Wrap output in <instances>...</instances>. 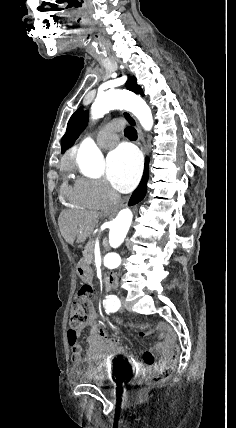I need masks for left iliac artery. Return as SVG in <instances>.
I'll list each match as a JSON object with an SVG mask.
<instances>
[{
    "instance_id": "44dca946",
    "label": "left iliac artery",
    "mask_w": 236,
    "mask_h": 428,
    "mask_svg": "<svg viewBox=\"0 0 236 428\" xmlns=\"http://www.w3.org/2000/svg\"><path fill=\"white\" fill-rule=\"evenodd\" d=\"M103 305L106 308V313L109 312H116L120 306V300L115 295H107L106 298L103 300Z\"/></svg>"
}]
</instances>
